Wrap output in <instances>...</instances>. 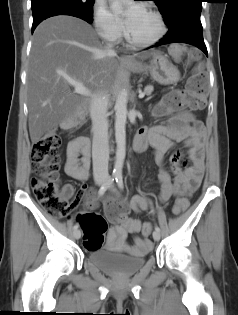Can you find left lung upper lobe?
<instances>
[{
  "label": "left lung upper lobe",
  "instance_id": "left-lung-upper-lobe-1",
  "mask_svg": "<svg viewBox=\"0 0 238 315\" xmlns=\"http://www.w3.org/2000/svg\"><path fill=\"white\" fill-rule=\"evenodd\" d=\"M166 25L171 26L181 15L188 12H201L202 0H153Z\"/></svg>",
  "mask_w": 238,
  "mask_h": 315
}]
</instances>
